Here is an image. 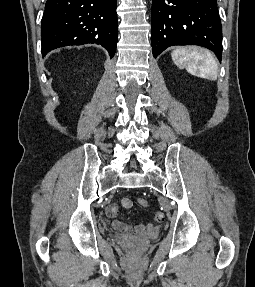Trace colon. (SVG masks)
Listing matches in <instances>:
<instances>
[{"mask_svg": "<svg viewBox=\"0 0 255 287\" xmlns=\"http://www.w3.org/2000/svg\"><path fill=\"white\" fill-rule=\"evenodd\" d=\"M138 203L140 204V206L142 207H146L148 205V202L146 199L140 198L138 199Z\"/></svg>", "mask_w": 255, "mask_h": 287, "instance_id": "1", "label": "colon"}]
</instances>
